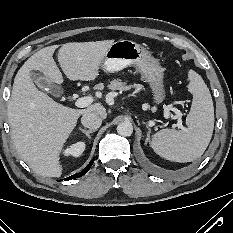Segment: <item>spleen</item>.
Returning <instances> with one entry per match:
<instances>
[{"label":"spleen","instance_id":"3e777b00","mask_svg":"<svg viewBox=\"0 0 233 233\" xmlns=\"http://www.w3.org/2000/svg\"><path fill=\"white\" fill-rule=\"evenodd\" d=\"M188 90L193 95L181 130L163 129L153 135L151 146L159 156L175 162H192L206 150L214 128V106L210 91L195 71L188 73Z\"/></svg>","mask_w":233,"mask_h":233}]
</instances>
